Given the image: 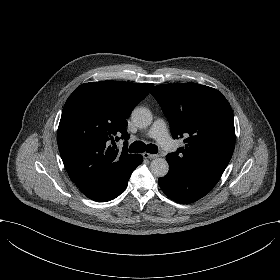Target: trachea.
<instances>
[{
  "mask_svg": "<svg viewBox=\"0 0 280 280\" xmlns=\"http://www.w3.org/2000/svg\"><path fill=\"white\" fill-rule=\"evenodd\" d=\"M145 151L150 154H156L158 152V147L154 144L145 145L142 141H135L129 148V152L131 153H142Z\"/></svg>",
  "mask_w": 280,
  "mask_h": 280,
  "instance_id": "trachea-1",
  "label": "trachea"
}]
</instances>
